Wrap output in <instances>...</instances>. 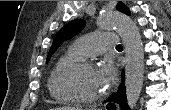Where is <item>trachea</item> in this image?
Listing matches in <instances>:
<instances>
[{
    "label": "trachea",
    "mask_w": 171,
    "mask_h": 110,
    "mask_svg": "<svg viewBox=\"0 0 171 110\" xmlns=\"http://www.w3.org/2000/svg\"><path fill=\"white\" fill-rule=\"evenodd\" d=\"M116 48L117 49H122L123 47H122V45L119 44V45L116 46Z\"/></svg>",
    "instance_id": "trachea-1"
}]
</instances>
